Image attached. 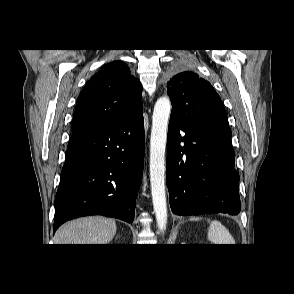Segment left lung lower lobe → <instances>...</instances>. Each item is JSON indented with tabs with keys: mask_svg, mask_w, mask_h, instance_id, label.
<instances>
[{
	"mask_svg": "<svg viewBox=\"0 0 294 294\" xmlns=\"http://www.w3.org/2000/svg\"><path fill=\"white\" fill-rule=\"evenodd\" d=\"M180 131L186 133L184 137ZM230 135L229 127L190 124L170 115L166 181L174 214L240 212L239 174Z\"/></svg>",
	"mask_w": 294,
	"mask_h": 294,
	"instance_id": "0a47b994",
	"label": "left lung lower lobe"
}]
</instances>
